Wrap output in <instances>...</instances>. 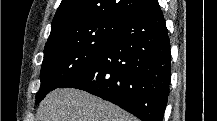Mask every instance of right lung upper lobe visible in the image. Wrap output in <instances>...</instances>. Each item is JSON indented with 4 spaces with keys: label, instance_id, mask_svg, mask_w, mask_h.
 Masks as SVG:
<instances>
[{
    "label": "right lung upper lobe",
    "instance_id": "1",
    "mask_svg": "<svg viewBox=\"0 0 217 121\" xmlns=\"http://www.w3.org/2000/svg\"><path fill=\"white\" fill-rule=\"evenodd\" d=\"M153 0H62L53 18L47 43L72 27L102 19L125 22ZM46 43V44H47Z\"/></svg>",
    "mask_w": 217,
    "mask_h": 121
}]
</instances>
